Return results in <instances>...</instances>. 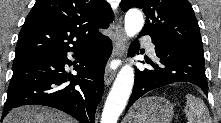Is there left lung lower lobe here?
<instances>
[{
    "label": "left lung lower lobe",
    "instance_id": "1",
    "mask_svg": "<svg viewBox=\"0 0 221 123\" xmlns=\"http://www.w3.org/2000/svg\"><path fill=\"white\" fill-rule=\"evenodd\" d=\"M141 35H146L141 33ZM158 57L157 63L150 62L153 69L135 70V82L126 110L145 93L174 83L190 82L208 92L205 76L204 54L189 48L173 47L152 39ZM139 43L133 42L132 54L138 53Z\"/></svg>",
    "mask_w": 221,
    "mask_h": 123
}]
</instances>
